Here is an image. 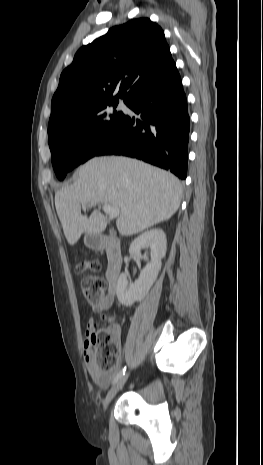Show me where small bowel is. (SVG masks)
<instances>
[{"label":"small bowel","mask_w":263,"mask_h":465,"mask_svg":"<svg viewBox=\"0 0 263 465\" xmlns=\"http://www.w3.org/2000/svg\"><path fill=\"white\" fill-rule=\"evenodd\" d=\"M113 301H114V293L113 291L110 290V292L107 295H104L100 300L96 302H92V309L94 312H101V311L107 310L112 306ZM95 327H96L95 320L93 318H90L87 323V331H86L87 337H89V335L91 334V332L94 330ZM84 354H85V360L87 363V369L92 379L100 387H106L109 384V382L112 380L114 375L116 374L117 369H114L106 373L100 372L95 366V363L92 358L91 348H90V345L87 343V340L85 342Z\"/></svg>","instance_id":"small-bowel-1"}]
</instances>
